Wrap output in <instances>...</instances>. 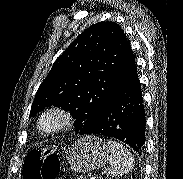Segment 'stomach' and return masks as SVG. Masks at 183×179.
Here are the masks:
<instances>
[{
	"mask_svg": "<svg viewBox=\"0 0 183 179\" xmlns=\"http://www.w3.org/2000/svg\"><path fill=\"white\" fill-rule=\"evenodd\" d=\"M67 159L75 172H88L106 164L109 160V150L101 138L86 136L71 146Z\"/></svg>",
	"mask_w": 183,
	"mask_h": 179,
	"instance_id": "obj_1",
	"label": "stomach"
}]
</instances>
